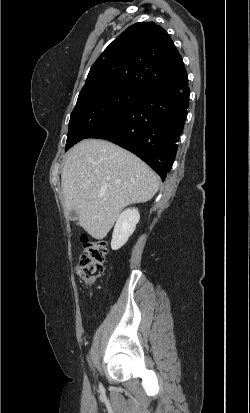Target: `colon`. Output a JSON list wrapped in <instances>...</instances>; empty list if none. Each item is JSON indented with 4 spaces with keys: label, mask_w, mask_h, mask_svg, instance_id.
Here are the masks:
<instances>
[{
    "label": "colon",
    "mask_w": 250,
    "mask_h": 413,
    "mask_svg": "<svg viewBox=\"0 0 250 413\" xmlns=\"http://www.w3.org/2000/svg\"><path fill=\"white\" fill-rule=\"evenodd\" d=\"M107 247L103 241L83 239V253L79 257L75 272L87 284L99 278L104 270Z\"/></svg>",
    "instance_id": "5ec220e1"
}]
</instances>
